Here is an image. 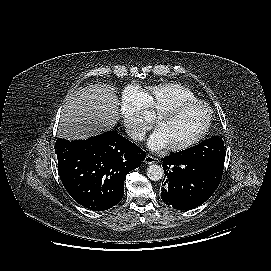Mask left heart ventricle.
<instances>
[{"mask_svg": "<svg viewBox=\"0 0 271 271\" xmlns=\"http://www.w3.org/2000/svg\"><path fill=\"white\" fill-rule=\"evenodd\" d=\"M208 110L194 106L159 121L157 128L163 133L168 146L183 144L194 138L208 121Z\"/></svg>", "mask_w": 271, "mask_h": 271, "instance_id": "1", "label": "left heart ventricle"}]
</instances>
